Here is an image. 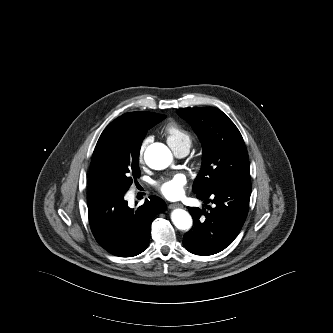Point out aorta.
I'll list each match as a JSON object with an SVG mask.
<instances>
[{
    "label": "aorta",
    "instance_id": "762f6f07",
    "mask_svg": "<svg viewBox=\"0 0 333 333\" xmlns=\"http://www.w3.org/2000/svg\"><path fill=\"white\" fill-rule=\"evenodd\" d=\"M144 159L150 168L162 170L171 164L173 156L167 146L162 143H154L147 147ZM171 220L179 230H189L193 223L191 215L183 209L173 210Z\"/></svg>",
    "mask_w": 333,
    "mask_h": 333
}]
</instances>
